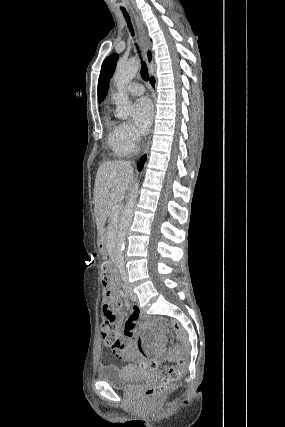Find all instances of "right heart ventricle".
Segmentation results:
<instances>
[{
	"label": "right heart ventricle",
	"mask_w": 285,
	"mask_h": 427,
	"mask_svg": "<svg viewBox=\"0 0 285 427\" xmlns=\"http://www.w3.org/2000/svg\"><path fill=\"white\" fill-rule=\"evenodd\" d=\"M108 144L115 155L119 157L126 156L130 151L123 145L120 135V125L114 121L107 120Z\"/></svg>",
	"instance_id": "right-heart-ventricle-1"
}]
</instances>
